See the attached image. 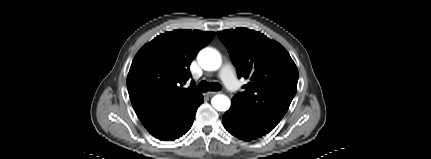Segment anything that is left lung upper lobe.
<instances>
[{
  "mask_svg": "<svg viewBox=\"0 0 431 159\" xmlns=\"http://www.w3.org/2000/svg\"><path fill=\"white\" fill-rule=\"evenodd\" d=\"M236 66L248 79L232 101L245 110L280 121L295 96L298 70L288 52L264 34L246 28L217 32Z\"/></svg>",
  "mask_w": 431,
  "mask_h": 159,
  "instance_id": "5c2ea615",
  "label": "left lung upper lobe"
}]
</instances>
